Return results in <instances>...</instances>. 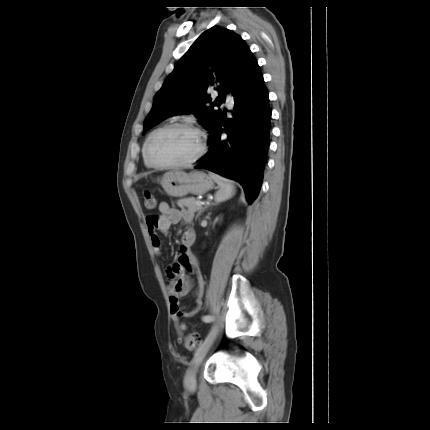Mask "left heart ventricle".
<instances>
[{
  "mask_svg": "<svg viewBox=\"0 0 430 430\" xmlns=\"http://www.w3.org/2000/svg\"><path fill=\"white\" fill-rule=\"evenodd\" d=\"M199 147L200 138L197 133L184 128H175L154 139L151 145V156L162 164L178 163L192 158Z\"/></svg>",
  "mask_w": 430,
  "mask_h": 430,
  "instance_id": "1",
  "label": "left heart ventricle"
}]
</instances>
